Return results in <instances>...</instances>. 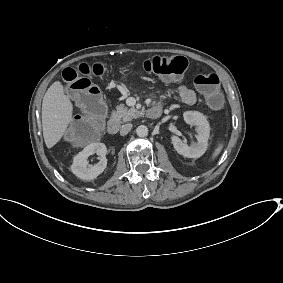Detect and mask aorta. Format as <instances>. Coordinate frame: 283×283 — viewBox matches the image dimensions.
Masks as SVG:
<instances>
[{
	"label": "aorta",
	"mask_w": 283,
	"mask_h": 283,
	"mask_svg": "<svg viewBox=\"0 0 283 283\" xmlns=\"http://www.w3.org/2000/svg\"><path fill=\"white\" fill-rule=\"evenodd\" d=\"M136 134L139 137H146L148 135V128L145 125H140L136 129Z\"/></svg>",
	"instance_id": "aorta-1"
}]
</instances>
